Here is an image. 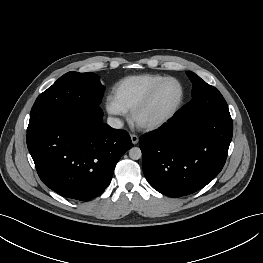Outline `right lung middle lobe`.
I'll return each instance as SVG.
<instances>
[{
	"label": "right lung middle lobe",
	"instance_id": "right-lung-middle-lobe-1",
	"mask_svg": "<svg viewBox=\"0 0 263 263\" xmlns=\"http://www.w3.org/2000/svg\"><path fill=\"white\" fill-rule=\"evenodd\" d=\"M104 89L99 77L92 72L64 74L36 99L27 133L40 129L62 114L73 115L87 106L99 105Z\"/></svg>",
	"mask_w": 263,
	"mask_h": 263
}]
</instances>
